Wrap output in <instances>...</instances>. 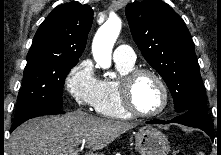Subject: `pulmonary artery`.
<instances>
[{
  "label": "pulmonary artery",
  "instance_id": "e3ab8cb5",
  "mask_svg": "<svg viewBox=\"0 0 221 155\" xmlns=\"http://www.w3.org/2000/svg\"><path fill=\"white\" fill-rule=\"evenodd\" d=\"M113 58L115 62L134 64L136 60V55L130 46L120 45L114 50Z\"/></svg>",
  "mask_w": 221,
  "mask_h": 155
}]
</instances>
